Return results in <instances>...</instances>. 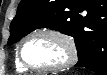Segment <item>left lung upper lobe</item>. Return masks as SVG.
Segmentation results:
<instances>
[{"instance_id": "5c2ea615", "label": "left lung upper lobe", "mask_w": 107, "mask_h": 75, "mask_svg": "<svg viewBox=\"0 0 107 75\" xmlns=\"http://www.w3.org/2000/svg\"><path fill=\"white\" fill-rule=\"evenodd\" d=\"M87 0H22L10 25L8 45L35 29L48 27L74 37L78 58L83 55L84 35L107 39V18L94 14Z\"/></svg>"}]
</instances>
